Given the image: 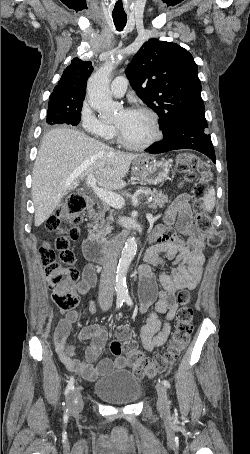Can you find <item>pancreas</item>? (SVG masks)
Returning <instances> with one entry per match:
<instances>
[{"label": "pancreas", "mask_w": 250, "mask_h": 454, "mask_svg": "<svg viewBox=\"0 0 250 454\" xmlns=\"http://www.w3.org/2000/svg\"><path fill=\"white\" fill-rule=\"evenodd\" d=\"M142 190L146 191L149 195L153 197V200L150 202V207L156 209L157 207L163 208L165 203L167 202V197L157 190H151L149 188H142ZM100 210L97 214L93 215V223L90 224L92 231V237L96 240H100L101 242L106 241V235L111 233V222H113V216L108 218L105 217V213L109 210V207L106 203H102L101 206L98 207Z\"/></svg>", "instance_id": "cf45deb5"}]
</instances>
